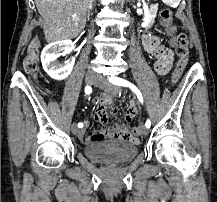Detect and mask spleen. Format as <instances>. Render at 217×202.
Here are the masks:
<instances>
[{"instance_id": "spleen-1", "label": "spleen", "mask_w": 217, "mask_h": 202, "mask_svg": "<svg viewBox=\"0 0 217 202\" xmlns=\"http://www.w3.org/2000/svg\"><path fill=\"white\" fill-rule=\"evenodd\" d=\"M165 5H168V7H179V0H165Z\"/></svg>"}]
</instances>
